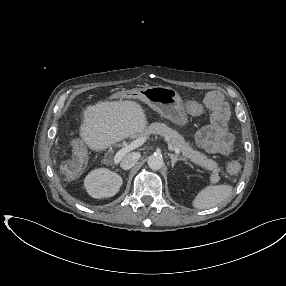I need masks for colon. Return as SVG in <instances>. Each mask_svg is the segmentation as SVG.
I'll return each instance as SVG.
<instances>
[{"instance_id":"colon-1","label":"colon","mask_w":286,"mask_h":286,"mask_svg":"<svg viewBox=\"0 0 286 286\" xmlns=\"http://www.w3.org/2000/svg\"><path fill=\"white\" fill-rule=\"evenodd\" d=\"M76 159H78V158L76 157ZM228 169H229L230 172L235 173V172L238 171L239 165H238L237 162H231V163L229 164V168H228Z\"/></svg>"}]
</instances>
